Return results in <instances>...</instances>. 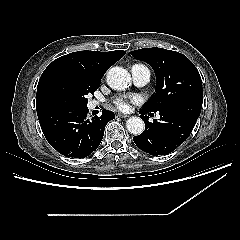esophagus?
Masks as SVG:
<instances>
[{"label": "esophagus", "instance_id": "34e87169", "mask_svg": "<svg viewBox=\"0 0 240 240\" xmlns=\"http://www.w3.org/2000/svg\"><path fill=\"white\" fill-rule=\"evenodd\" d=\"M117 116L120 117V118H127V117H129V116L126 115V114H118Z\"/></svg>", "mask_w": 240, "mask_h": 240}]
</instances>
